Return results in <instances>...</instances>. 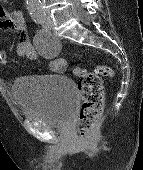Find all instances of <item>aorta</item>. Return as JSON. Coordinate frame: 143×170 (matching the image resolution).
<instances>
[{
  "label": "aorta",
  "instance_id": "obj_1",
  "mask_svg": "<svg viewBox=\"0 0 143 170\" xmlns=\"http://www.w3.org/2000/svg\"><path fill=\"white\" fill-rule=\"evenodd\" d=\"M26 6L33 18L44 17L45 13L41 0H26Z\"/></svg>",
  "mask_w": 143,
  "mask_h": 170
}]
</instances>
